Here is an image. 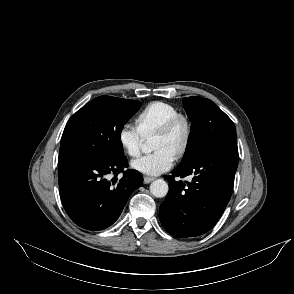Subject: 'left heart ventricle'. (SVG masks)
Instances as JSON below:
<instances>
[{"label": "left heart ventricle", "instance_id": "1", "mask_svg": "<svg viewBox=\"0 0 294 294\" xmlns=\"http://www.w3.org/2000/svg\"><path fill=\"white\" fill-rule=\"evenodd\" d=\"M183 136V129L179 127L173 134L171 135H155L154 148L158 149H169L170 151L175 153L177 146L179 145Z\"/></svg>", "mask_w": 294, "mask_h": 294}]
</instances>
